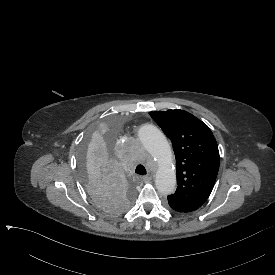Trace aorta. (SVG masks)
Masks as SVG:
<instances>
[{
  "label": "aorta",
  "instance_id": "762f6f07",
  "mask_svg": "<svg viewBox=\"0 0 275 275\" xmlns=\"http://www.w3.org/2000/svg\"><path fill=\"white\" fill-rule=\"evenodd\" d=\"M138 138L149 145L148 154L155 161H162V166L155 176V187L161 195L175 193L176 174L167 160L171 158V151L164 134L153 124L144 123L138 129Z\"/></svg>",
  "mask_w": 275,
  "mask_h": 275
}]
</instances>
